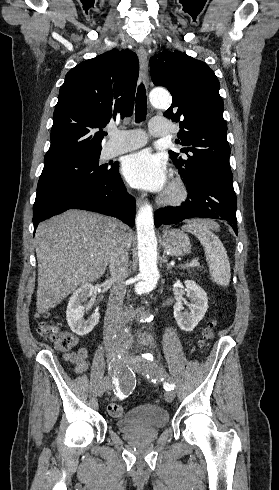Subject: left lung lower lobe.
Returning a JSON list of instances; mask_svg holds the SVG:
<instances>
[{
  "instance_id": "obj_1",
  "label": "left lung lower lobe",
  "mask_w": 279,
  "mask_h": 490,
  "mask_svg": "<svg viewBox=\"0 0 279 490\" xmlns=\"http://www.w3.org/2000/svg\"><path fill=\"white\" fill-rule=\"evenodd\" d=\"M185 182L188 189L186 201L179 207L158 209L154 217L155 226L191 218H214L227 221L238 235L233 179L203 172Z\"/></svg>"
}]
</instances>
